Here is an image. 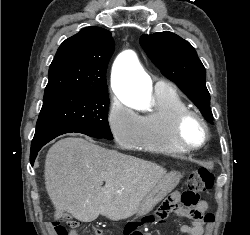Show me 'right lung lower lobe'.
Masks as SVG:
<instances>
[{
	"instance_id": "obj_1",
	"label": "right lung lower lobe",
	"mask_w": 250,
	"mask_h": 235,
	"mask_svg": "<svg viewBox=\"0 0 250 235\" xmlns=\"http://www.w3.org/2000/svg\"><path fill=\"white\" fill-rule=\"evenodd\" d=\"M71 132L83 133L91 137L99 138L93 134L82 132L66 126H50L37 129L31 144L30 163L33 166L38 151L49 141L59 135Z\"/></svg>"
}]
</instances>
